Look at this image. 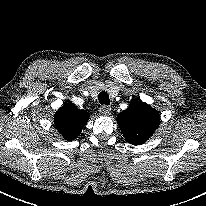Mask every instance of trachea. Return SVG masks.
<instances>
[{
    "instance_id": "obj_1",
    "label": "trachea",
    "mask_w": 206,
    "mask_h": 206,
    "mask_svg": "<svg viewBox=\"0 0 206 206\" xmlns=\"http://www.w3.org/2000/svg\"><path fill=\"white\" fill-rule=\"evenodd\" d=\"M98 100L101 104H104V105H109L110 104L109 95L105 91H102V92L99 93Z\"/></svg>"
}]
</instances>
